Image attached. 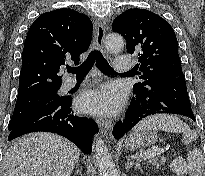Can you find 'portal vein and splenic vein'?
Wrapping results in <instances>:
<instances>
[{
	"label": "portal vein and splenic vein",
	"instance_id": "1",
	"mask_svg": "<svg viewBox=\"0 0 205 176\" xmlns=\"http://www.w3.org/2000/svg\"><path fill=\"white\" fill-rule=\"evenodd\" d=\"M168 151V148H160V149H152L148 150L145 155L142 157L141 161H146L148 159H151L157 155H160L161 153Z\"/></svg>",
	"mask_w": 205,
	"mask_h": 176
}]
</instances>
